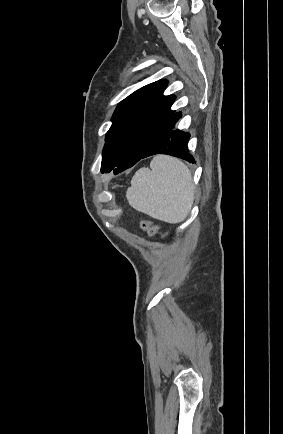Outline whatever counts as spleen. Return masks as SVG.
<instances>
[{"label": "spleen", "mask_w": 283, "mask_h": 434, "mask_svg": "<svg viewBox=\"0 0 283 434\" xmlns=\"http://www.w3.org/2000/svg\"><path fill=\"white\" fill-rule=\"evenodd\" d=\"M136 210L168 223H179L188 215L194 199L192 175L180 160L155 156L149 168L139 169L126 193Z\"/></svg>", "instance_id": "1"}]
</instances>
